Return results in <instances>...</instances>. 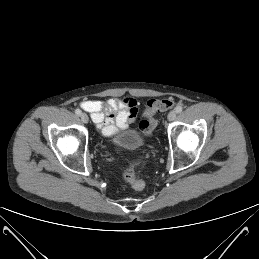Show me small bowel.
Returning <instances> with one entry per match:
<instances>
[{
	"label": "small bowel",
	"mask_w": 259,
	"mask_h": 259,
	"mask_svg": "<svg viewBox=\"0 0 259 259\" xmlns=\"http://www.w3.org/2000/svg\"><path fill=\"white\" fill-rule=\"evenodd\" d=\"M80 107L90 113L93 122L103 134H110L116 127L124 129L134 122L138 109L134 98L83 100Z\"/></svg>",
	"instance_id": "obj_1"
}]
</instances>
